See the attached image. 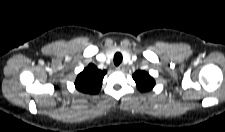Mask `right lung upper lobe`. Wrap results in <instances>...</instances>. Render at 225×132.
<instances>
[{"instance_id": "1", "label": "right lung upper lobe", "mask_w": 225, "mask_h": 132, "mask_svg": "<svg viewBox=\"0 0 225 132\" xmlns=\"http://www.w3.org/2000/svg\"><path fill=\"white\" fill-rule=\"evenodd\" d=\"M106 71L99 70L95 65L89 64L76 78L75 86L83 93L95 94L101 88Z\"/></svg>"}]
</instances>
